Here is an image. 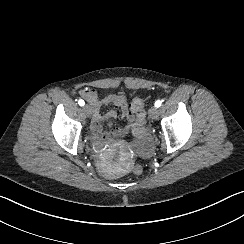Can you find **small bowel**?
Instances as JSON below:
<instances>
[{
    "label": "small bowel",
    "mask_w": 244,
    "mask_h": 244,
    "mask_svg": "<svg viewBox=\"0 0 244 244\" xmlns=\"http://www.w3.org/2000/svg\"><path fill=\"white\" fill-rule=\"evenodd\" d=\"M80 95L91 105L93 112L92 130L99 140H110L115 137H124L131 131V128L136 121L123 95L111 93L101 100H98L96 92L88 88L82 89ZM109 104H113L120 108L121 116L126 121V124L121 127L110 124L107 130H103L102 122L111 120L117 115L115 110L101 112V106ZM139 139V142L141 143L138 146L139 153H141L144 158L151 157L152 149L149 147V140L145 137V134L144 136L139 137Z\"/></svg>",
    "instance_id": "small-bowel-1"
}]
</instances>
